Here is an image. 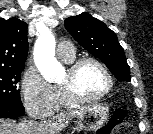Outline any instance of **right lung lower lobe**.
I'll use <instances>...</instances> for the list:
<instances>
[{"label":"right lung lower lobe","instance_id":"obj_1","mask_svg":"<svg viewBox=\"0 0 153 134\" xmlns=\"http://www.w3.org/2000/svg\"><path fill=\"white\" fill-rule=\"evenodd\" d=\"M25 114L22 104H7L0 102V118H16Z\"/></svg>","mask_w":153,"mask_h":134}]
</instances>
